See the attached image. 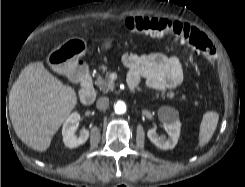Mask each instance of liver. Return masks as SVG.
<instances>
[{
	"label": "liver",
	"mask_w": 245,
	"mask_h": 187,
	"mask_svg": "<svg viewBox=\"0 0 245 187\" xmlns=\"http://www.w3.org/2000/svg\"><path fill=\"white\" fill-rule=\"evenodd\" d=\"M77 104L75 90L45 69L28 64L9 94V114L16 135L28 147L46 151L53 135Z\"/></svg>",
	"instance_id": "1"
}]
</instances>
